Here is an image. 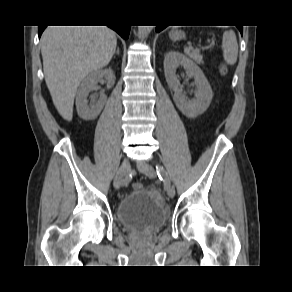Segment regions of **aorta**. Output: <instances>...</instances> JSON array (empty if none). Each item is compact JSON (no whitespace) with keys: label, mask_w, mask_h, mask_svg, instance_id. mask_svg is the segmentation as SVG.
I'll return each instance as SVG.
<instances>
[{"label":"aorta","mask_w":292,"mask_h":292,"mask_svg":"<svg viewBox=\"0 0 292 292\" xmlns=\"http://www.w3.org/2000/svg\"><path fill=\"white\" fill-rule=\"evenodd\" d=\"M152 26H139V32L143 36H147L148 33L151 31Z\"/></svg>","instance_id":"aorta-1"}]
</instances>
